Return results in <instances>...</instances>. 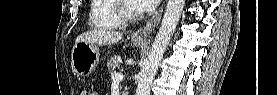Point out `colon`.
Masks as SVG:
<instances>
[{
    "instance_id": "1",
    "label": "colon",
    "mask_w": 277,
    "mask_h": 95,
    "mask_svg": "<svg viewBox=\"0 0 277 95\" xmlns=\"http://www.w3.org/2000/svg\"><path fill=\"white\" fill-rule=\"evenodd\" d=\"M94 93L93 92H91V91H85L84 93H83V95H93Z\"/></svg>"
}]
</instances>
